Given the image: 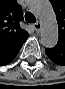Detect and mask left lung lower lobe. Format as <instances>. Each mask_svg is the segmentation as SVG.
<instances>
[{
	"label": "left lung lower lobe",
	"instance_id": "left-lung-lower-lobe-1",
	"mask_svg": "<svg viewBox=\"0 0 65 89\" xmlns=\"http://www.w3.org/2000/svg\"><path fill=\"white\" fill-rule=\"evenodd\" d=\"M45 53L54 63L65 65V40L58 39V43L54 48L45 49Z\"/></svg>",
	"mask_w": 65,
	"mask_h": 89
}]
</instances>
